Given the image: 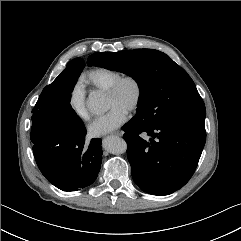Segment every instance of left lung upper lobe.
Segmentation results:
<instances>
[{"label": "left lung upper lobe", "instance_id": "obj_1", "mask_svg": "<svg viewBox=\"0 0 241 241\" xmlns=\"http://www.w3.org/2000/svg\"><path fill=\"white\" fill-rule=\"evenodd\" d=\"M87 64L133 77L140 88L135 116L148 125L173 115L206 116L204 102L191 77L163 52L153 49L97 52L89 56Z\"/></svg>", "mask_w": 241, "mask_h": 241}]
</instances>
